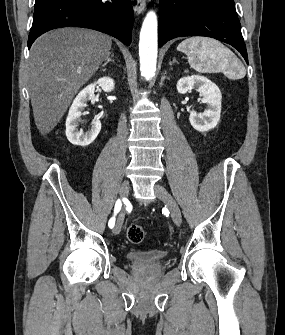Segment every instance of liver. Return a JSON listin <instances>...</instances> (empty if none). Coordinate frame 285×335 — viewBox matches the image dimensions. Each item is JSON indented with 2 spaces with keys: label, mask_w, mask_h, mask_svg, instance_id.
<instances>
[{
  "label": "liver",
  "mask_w": 285,
  "mask_h": 335,
  "mask_svg": "<svg viewBox=\"0 0 285 335\" xmlns=\"http://www.w3.org/2000/svg\"><path fill=\"white\" fill-rule=\"evenodd\" d=\"M112 48L111 38L86 28H61L34 42L28 88L37 130L49 134L78 90L92 78Z\"/></svg>",
  "instance_id": "liver-1"
}]
</instances>
